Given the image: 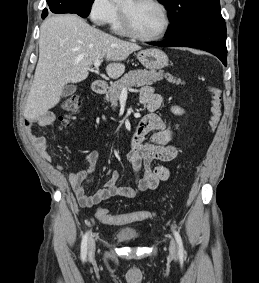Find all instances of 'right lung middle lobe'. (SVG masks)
Instances as JSON below:
<instances>
[{"instance_id": "1", "label": "right lung middle lobe", "mask_w": 259, "mask_h": 283, "mask_svg": "<svg viewBox=\"0 0 259 283\" xmlns=\"http://www.w3.org/2000/svg\"><path fill=\"white\" fill-rule=\"evenodd\" d=\"M82 1V7L80 10V13L83 14L81 17H87L90 12V7L94 0H81Z\"/></svg>"}]
</instances>
